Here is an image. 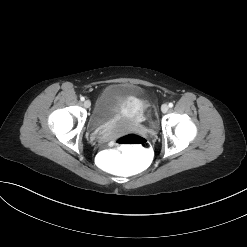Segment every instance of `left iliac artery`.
<instances>
[{
	"mask_svg": "<svg viewBox=\"0 0 247 247\" xmlns=\"http://www.w3.org/2000/svg\"><path fill=\"white\" fill-rule=\"evenodd\" d=\"M170 108H172L173 107V103H169V105H168Z\"/></svg>",
	"mask_w": 247,
	"mask_h": 247,
	"instance_id": "obj_1",
	"label": "left iliac artery"
}]
</instances>
